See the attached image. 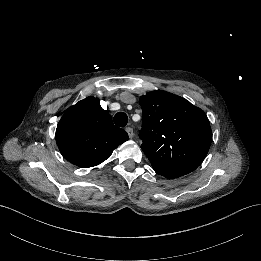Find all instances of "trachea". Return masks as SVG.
I'll return each mask as SVG.
<instances>
[{
    "label": "trachea",
    "mask_w": 261,
    "mask_h": 261,
    "mask_svg": "<svg viewBox=\"0 0 261 261\" xmlns=\"http://www.w3.org/2000/svg\"><path fill=\"white\" fill-rule=\"evenodd\" d=\"M114 123L119 127H125L128 123V116L124 112H118L114 116Z\"/></svg>",
    "instance_id": "1"
}]
</instances>
